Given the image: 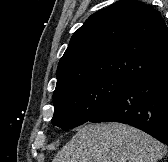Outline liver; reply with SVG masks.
I'll return each mask as SVG.
<instances>
[{
  "mask_svg": "<svg viewBox=\"0 0 168 162\" xmlns=\"http://www.w3.org/2000/svg\"><path fill=\"white\" fill-rule=\"evenodd\" d=\"M166 146L147 133L122 123L88 124L52 162H157Z\"/></svg>",
  "mask_w": 168,
  "mask_h": 162,
  "instance_id": "1",
  "label": "liver"
}]
</instances>
